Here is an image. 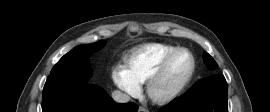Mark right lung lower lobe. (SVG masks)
<instances>
[{
	"label": "right lung lower lobe",
	"mask_w": 270,
	"mask_h": 112,
	"mask_svg": "<svg viewBox=\"0 0 270 112\" xmlns=\"http://www.w3.org/2000/svg\"><path fill=\"white\" fill-rule=\"evenodd\" d=\"M134 103H116L104 89L82 82H48L43 89L42 112H137Z\"/></svg>",
	"instance_id": "1"
}]
</instances>
